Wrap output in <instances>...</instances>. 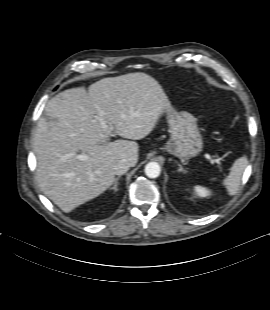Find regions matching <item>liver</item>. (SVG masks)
<instances>
[{"instance_id": "1", "label": "liver", "mask_w": 270, "mask_h": 310, "mask_svg": "<svg viewBox=\"0 0 270 310\" xmlns=\"http://www.w3.org/2000/svg\"><path fill=\"white\" fill-rule=\"evenodd\" d=\"M171 104L160 84L145 73L108 77L52 98L34 135L37 181L43 193L69 213L99 196L115 181L114 165L134 167L140 140L154 129ZM101 117L106 125L99 122ZM87 156L77 159L78 153Z\"/></svg>"}]
</instances>
